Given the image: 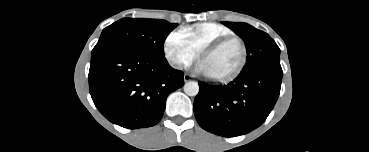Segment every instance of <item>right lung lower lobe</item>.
Instances as JSON below:
<instances>
[{"label":"right lung lower lobe","mask_w":369,"mask_h":152,"mask_svg":"<svg viewBox=\"0 0 369 152\" xmlns=\"http://www.w3.org/2000/svg\"><path fill=\"white\" fill-rule=\"evenodd\" d=\"M183 76L166 58L114 50L91 58L89 89L110 122L137 129L159 122L168 95L184 85Z\"/></svg>","instance_id":"1"}]
</instances>
